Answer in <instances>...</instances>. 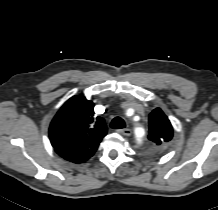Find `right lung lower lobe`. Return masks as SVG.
Masks as SVG:
<instances>
[{"label": "right lung lower lobe", "instance_id": "98d812e1", "mask_svg": "<svg viewBox=\"0 0 218 210\" xmlns=\"http://www.w3.org/2000/svg\"><path fill=\"white\" fill-rule=\"evenodd\" d=\"M55 151L64 159L74 162V163H82L88 160L92 155H80L76 153H71L69 151L55 149Z\"/></svg>", "mask_w": 218, "mask_h": 210}]
</instances>
